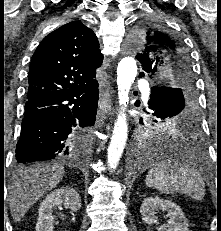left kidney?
Instances as JSON below:
<instances>
[{
  "label": "left kidney",
  "instance_id": "5707ae66",
  "mask_svg": "<svg viewBox=\"0 0 221 231\" xmlns=\"http://www.w3.org/2000/svg\"><path fill=\"white\" fill-rule=\"evenodd\" d=\"M159 210L167 211L169 220L166 225L158 227L157 231H189L188 221L181 208L174 202L159 197H148L143 200L140 207L142 220L148 225H153Z\"/></svg>",
  "mask_w": 221,
  "mask_h": 231
}]
</instances>
